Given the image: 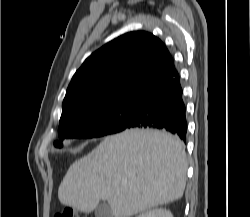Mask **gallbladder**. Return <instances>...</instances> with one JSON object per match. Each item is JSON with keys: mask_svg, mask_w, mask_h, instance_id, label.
Wrapping results in <instances>:
<instances>
[{"mask_svg": "<svg viewBox=\"0 0 250 217\" xmlns=\"http://www.w3.org/2000/svg\"><path fill=\"white\" fill-rule=\"evenodd\" d=\"M95 216L96 217H113L109 204L106 202L99 204L95 209Z\"/></svg>", "mask_w": 250, "mask_h": 217, "instance_id": "1", "label": "gallbladder"}]
</instances>
